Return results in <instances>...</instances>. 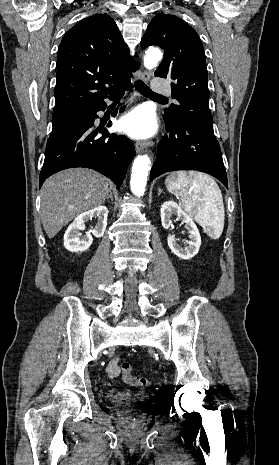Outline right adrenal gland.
<instances>
[{"instance_id":"obj_1","label":"right adrenal gland","mask_w":279,"mask_h":465,"mask_svg":"<svg viewBox=\"0 0 279 465\" xmlns=\"http://www.w3.org/2000/svg\"><path fill=\"white\" fill-rule=\"evenodd\" d=\"M107 199H111V201H113V196H112L111 190L109 191V195H108Z\"/></svg>"}]
</instances>
